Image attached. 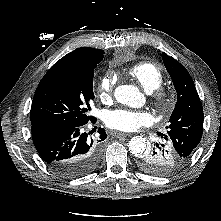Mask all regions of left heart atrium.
<instances>
[{"mask_svg": "<svg viewBox=\"0 0 221 221\" xmlns=\"http://www.w3.org/2000/svg\"><path fill=\"white\" fill-rule=\"evenodd\" d=\"M105 124L115 130L133 132L152 122V116L147 111L119 108L106 111Z\"/></svg>", "mask_w": 221, "mask_h": 221, "instance_id": "obj_1", "label": "left heart atrium"}]
</instances>
